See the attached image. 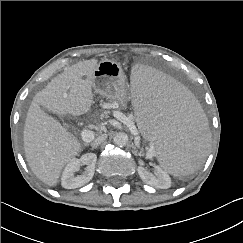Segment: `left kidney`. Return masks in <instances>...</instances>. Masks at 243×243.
<instances>
[{
	"label": "left kidney",
	"mask_w": 243,
	"mask_h": 243,
	"mask_svg": "<svg viewBox=\"0 0 243 243\" xmlns=\"http://www.w3.org/2000/svg\"><path fill=\"white\" fill-rule=\"evenodd\" d=\"M138 174L146 184L157 188L167 189L171 185V179L167 172L160 167H156L154 174L148 172L144 167H138Z\"/></svg>",
	"instance_id": "1"
}]
</instances>
